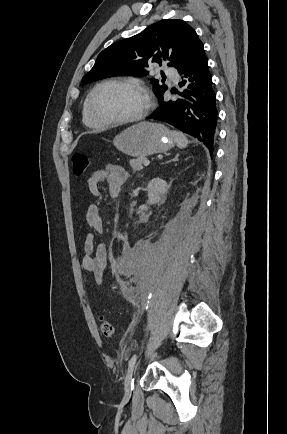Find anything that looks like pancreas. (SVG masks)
Listing matches in <instances>:
<instances>
[{
	"label": "pancreas",
	"instance_id": "cf45deb5",
	"mask_svg": "<svg viewBox=\"0 0 287 434\" xmlns=\"http://www.w3.org/2000/svg\"><path fill=\"white\" fill-rule=\"evenodd\" d=\"M145 157H138L137 159L130 160V166L133 172L141 171L142 164L144 163Z\"/></svg>",
	"mask_w": 287,
	"mask_h": 434
}]
</instances>
